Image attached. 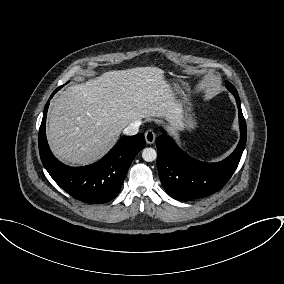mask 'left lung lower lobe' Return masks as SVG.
I'll return each mask as SVG.
<instances>
[{"instance_id": "left-lung-lower-lobe-1", "label": "left lung lower lobe", "mask_w": 284, "mask_h": 284, "mask_svg": "<svg viewBox=\"0 0 284 284\" xmlns=\"http://www.w3.org/2000/svg\"><path fill=\"white\" fill-rule=\"evenodd\" d=\"M239 112L240 141L234 152L218 163H205L184 153L169 136L157 138V168L165 191L179 201H190L219 191L231 178L246 144V122L239 96L234 95Z\"/></svg>"}]
</instances>
